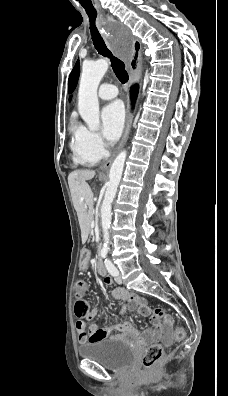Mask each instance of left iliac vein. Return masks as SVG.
<instances>
[{"instance_id": "left-iliac-vein-1", "label": "left iliac vein", "mask_w": 228, "mask_h": 396, "mask_svg": "<svg viewBox=\"0 0 228 396\" xmlns=\"http://www.w3.org/2000/svg\"><path fill=\"white\" fill-rule=\"evenodd\" d=\"M115 281H116L118 284H121V283H122V277H121L120 274H118V275L115 277Z\"/></svg>"}]
</instances>
